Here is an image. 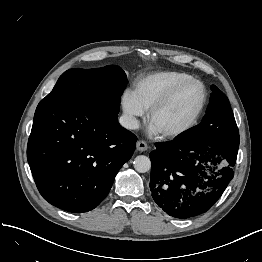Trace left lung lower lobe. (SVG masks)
Segmentation results:
<instances>
[{"mask_svg": "<svg viewBox=\"0 0 262 262\" xmlns=\"http://www.w3.org/2000/svg\"><path fill=\"white\" fill-rule=\"evenodd\" d=\"M238 134H222L207 142L184 140L156 143L150 153V190L168 215L191 218L208 211L234 176Z\"/></svg>", "mask_w": 262, "mask_h": 262, "instance_id": "1", "label": "left lung lower lobe"}]
</instances>
